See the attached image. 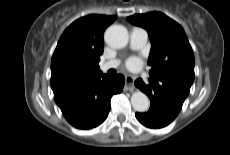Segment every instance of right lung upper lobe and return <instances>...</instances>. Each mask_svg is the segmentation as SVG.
Masks as SVG:
<instances>
[{
    "label": "right lung upper lobe",
    "mask_w": 230,
    "mask_h": 155,
    "mask_svg": "<svg viewBox=\"0 0 230 155\" xmlns=\"http://www.w3.org/2000/svg\"><path fill=\"white\" fill-rule=\"evenodd\" d=\"M116 16L87 15L73 22L60 37L51 60L52 89L102 73L103 32Z\"/></svg>",
    "instance_id": "1"
}]
</instances>
